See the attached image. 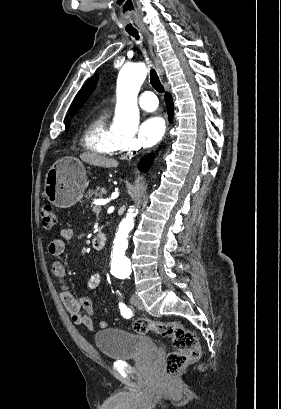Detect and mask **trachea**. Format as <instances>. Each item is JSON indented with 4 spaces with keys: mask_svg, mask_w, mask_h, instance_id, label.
I'll use <instances>...</instances> for the list:
<instances>
[{
    "mask_svg": "<svg viewBox=\"0 0 281 409\" xmlns=\"http://www.w3.org/2000/svg\"><path fill=\"white\" fill-rule=\"evenodd\" d=\"M129 34L133 37H135V39H139V35L138 32H129ZM150 83L152 85V87L159 93H164V87L162 85V83L160 82V79L158 77V74L156 73L154 68H151L150 71Z\"/></svg>",
    "mask_w": 281,
    "mask_h": 409,
    "instance_id": "trachea-1",
    "label": "trachea"
}]
</instances>
